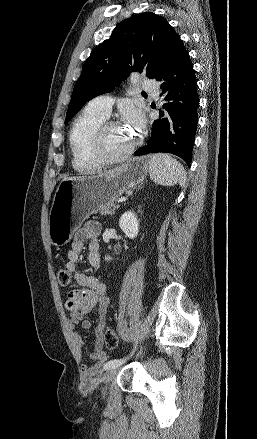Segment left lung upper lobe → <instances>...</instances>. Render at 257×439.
Returning <instances> with one entry per match:
<instances>
[{
    "label": "left lung upper lobe",
    "instance_id": "obj_1",
    "mask_svg": "<svg viewBox=\"0 0 257 439\" xmlns=\"http://www.w3.org/2000/svg\"><path fill=\"white\" fill-rule=\"evenodd\" d=\"M178 38L169 23L152 12L120 22L111 37L95 47L85 61L65 123L89 100L112 91L131 72L145 70L148 78L156 79L168 63Z\"/></svg>",
    "mask_w": 257,
    "mask_h": 439
}]
</instances>
